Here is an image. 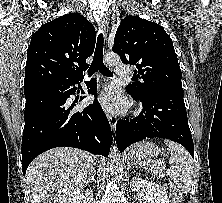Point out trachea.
Returning <instances> with one entry per match:
<instances>
[{
    "label": "trachea",
    "instance_id": "trachea-1",
    "mask_svg": "<svg viewBox=\"0 0 222 203\" xmlns=\"http://www.w3.org/2000/svg\"><path fill=\"white\" fill-rule=\"evenodd\" d=\"M103 34L100 33L97 38V45L94 53L93 62L88 70V75L91 76L97 70L105 76L113 77L112 72L103 63Z\"/></svg>",
    "mask_w": 222,
    "mask_h": 203
}]
</instances>
